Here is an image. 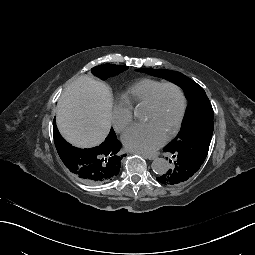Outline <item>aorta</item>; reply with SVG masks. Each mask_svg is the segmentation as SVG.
<instances>
[{
    "mask_svg": "<svg viewBox=\"0 0 255 255\" xmlns=\"http://www.w3.org/2000/svg\"><path fill=\"white\" fill-rule=\"evenodd\" d=\"M136 116L138 117L139 115L136 114ZM151 167L155 174L162 175L168 171L169 163L164 158H156L153 160Z\"/></svg>",
    "mask_w": 255,
    "mask_h": 255,
    "instance_id": "1",
    "label": "aorta"
}]
</instances>
